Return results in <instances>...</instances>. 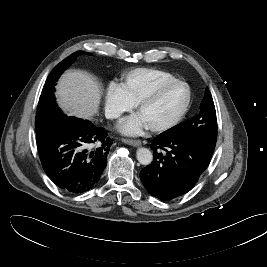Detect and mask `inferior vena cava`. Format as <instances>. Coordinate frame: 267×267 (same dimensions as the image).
Segmentation results:
<instances>
[{
  "instance_id": "602c4592",
  "label": "inferior vena cava",
  "mask_w": 267,
  "mask_h": 267,
  "mask_svg": "<svg viewBox=\"0 0 267 267\" xmlns=\"http://www.w3.org/2000/svg\"><path fill=\"white\" fill-rule=\"evenodd\" d=\"M106 117L107 118H117V117H119V114L118 113H107Z\"/></svg>"
}]
</instances>
